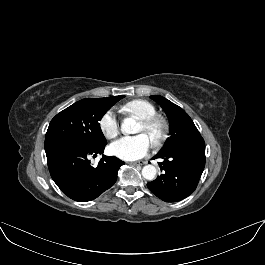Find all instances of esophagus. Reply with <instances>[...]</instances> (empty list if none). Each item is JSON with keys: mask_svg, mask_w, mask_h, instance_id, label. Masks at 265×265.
Instances as JSON below:
<instances>
[{"mask_svg": "<svg viewBox=\"0 0 265 265\" xmlns=\"http://www.w3.org/2000/svg\"><path fill=\"white\" fill-rule=\"evenodd\" d=\"M130 164L136 166V165H144V164H146V162L145 161H138V162H131Z\"/></svg>", "mask_w": 265, "mask_h": 265, "instance_id": "esophagus-1", "label": "esophagus"}]
</instances>
